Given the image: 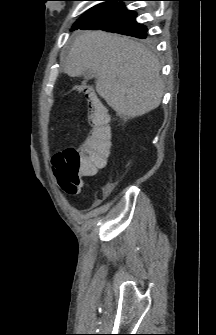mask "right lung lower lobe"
<instances>
[{
  "instance_id": "98d812e1",
  "label": "right lung lower lobe",
  "mask_w": 216,
  "mask_h": 335,
  "mask_svg": "<svg viewBox=\"0 0 216 335\" xmlns=\"http://www.w3.org/2000/svg\"><path fill=\"white\" fill-rule=\"evenodd\" d=\"M122 1L119 0L109 9L91 19L80 29H101L108 32H115L136 38H146V26L136 22V13L127 10Z\"/></svg>"
}]
</instances>
